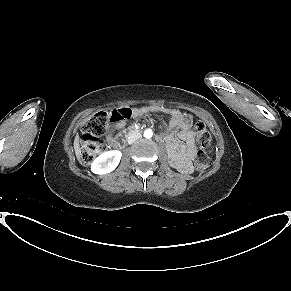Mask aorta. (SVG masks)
Segmentation results:
<instances>
[{
  "instance_id": "762f6f07",
  "label": "aorta",
  "mask_w": 291,
  "mask_h": 291,
  "mask_svg": "<svg viewBox=\"0 0 291 291\" xmlns=\"http://www.w3.org/2000/svg\"><path fill=\"white\" fill-rule=\"evenodd\" d=\"M153 136V131L151 129H146L144 131V137L150 139Z\"/></svg>"
}]
</instances>
